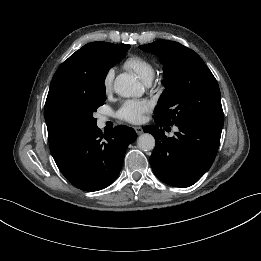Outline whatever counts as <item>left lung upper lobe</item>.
I'll list each match as a JSON object with an SVG mask.
<instances>
[{
    "label": "left lung upper lobe",
    "mask_w": 261,
    "mask_h": 261,
    "mask_svg": "<svg viewBox=\"0 0 261 261\" xmlns=\"http://www.w3.org/2000/svg\"><path fill=\"white\" fill-rule=\"evenodd\" d=\"M164 63L165 90L154 110L163 125L223 123L218 83L200 56L178 42L160 40L139 46Z\"/></svg>",
    "instance_id": "5c2ea615"
}]
</instances>
